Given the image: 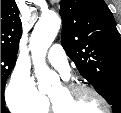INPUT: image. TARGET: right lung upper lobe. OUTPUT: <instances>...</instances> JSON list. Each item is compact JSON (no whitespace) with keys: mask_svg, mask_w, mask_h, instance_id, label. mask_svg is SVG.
<instances>
[{"mask_svg":"<svg viewBox=\"0 0 121 113\" xmlns=\"http://www.w3.org/2000/svg\"><path fill=\"white\" fill-rule=\"evenodd\" d=\"M22 28L15 0H1V53L17 55Z\"/></svg>","mask_w":121,"mask_h":113,"instance_id":"1","label":"right lung upper lobe"}]
</instances>
